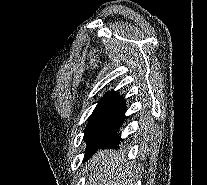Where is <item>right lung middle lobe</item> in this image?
Masks as SVG:
<instances>
[{"mask_svg": "<svg viewBox=\"0 0 207 185\" xmlns=\"http://www.w3.org/2000/svg\"><path fill=\"white\" fill-rule=\"evenodd\" d=\"M123 116L124 112L119 111H93L84 135V140L87 142L84 161L98 149V143Z\"/></svg>", "mask_w": 207, "mask_h": 185, "instance_id": "dd1d6c3e", "label": "right lung middle lobe"}]
</instances>
